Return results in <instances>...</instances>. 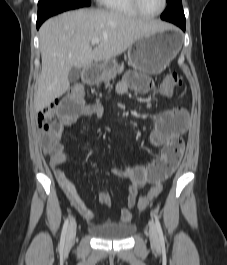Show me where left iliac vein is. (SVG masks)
Listing matches in <instances>:
<instances>
[{
    "label": "left iliac vein",
    "mask_w": 227,
    "mask_h": 265,
    "mask_svg": "<svg viewBox=\"0 0 227 265\" xmlns=\"http://www.w3.org/2000/svg\"><path fill=\"white\" fill-rule=\"evenodd\" d=\"M149 238L153 245L159 244L158 231L153 221H149Z\"/></svg>",
    "instance_id": "left-iliac-vein-1"
}]
</instances>
